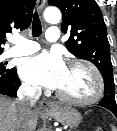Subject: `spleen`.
<instances>
[{
  "label": "spleen",
  "instance_id": "1",
  "mask_svg": "<svg viewBox=\"0 0 117 131\" xmlns=\"http://www.w3.org/2000/svg\"><path fill=\"white\" fill-rule=\"evenodd\" d=\"M112 131H116V129L114 127H112Z\"/></svg>",
  "mask_w": 117,
  "mask_h": 131
}]
</instances>
